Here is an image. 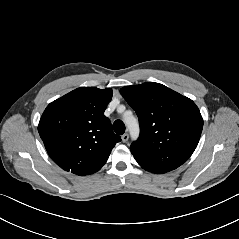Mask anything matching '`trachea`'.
<instances>
[{"label":"trachea","instance_id":"obj_1","mask_svg":"<svg viewBox=\"0 0 239 239\" xmlns=\"http://www.w3.org/2000/svg\"><path fill=\"white\" fill-rule=\"evenodd\" d=\"M113 129H114L115 133L122 135L125 132V125L121 120H116L113 123Z\"/></svg>","mask_w":239,"mask_h":239}]
</instances>
